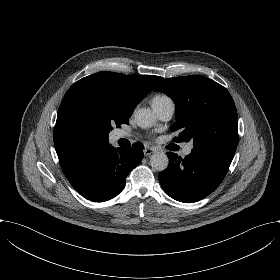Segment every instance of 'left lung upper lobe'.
<instances>
[{"label": "left lung upper lobe", "instance_id": "obj_1", "mask_svg": "<svg viewBox=\"0 0 280 280\" xmlns=\"http://www.w3.org/2000/svg\"><path fill=\"white\" fill-rule=\"evenodd\" d=\"M154 91L168 95L176 106L172 132L175 142L193 141L194 149L235 153L238 144V116L229 92L217 82L200 75L161 81Z\"/></svg>", "mask_w": 280, "mask_h": 280}]
</instances>
